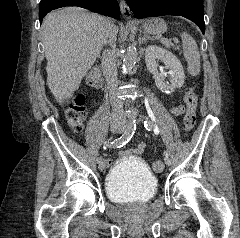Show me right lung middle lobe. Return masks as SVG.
<instances>
[{
    "label": "right lung middle lobe",
    "instance_id": "dd1d6c3e",
    "mask_svg": "<svg viewBox=\"0 0 240 238\" xmlns=\"http://www.w3.org/2000/svg\"><path fill=\"white\" fill-rule=\"evenodd\" d=\"M48 1H50V0H41V1H40V4H39V8L45 6V4H46Z\"/></svg>",
    "mask_w": 240,
    "mask_h": 238
}]
</instances>
